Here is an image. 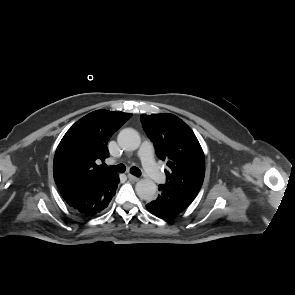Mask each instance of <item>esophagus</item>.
<instances>
[{"instance_id": "1", "label": "esophagus", "mask_w": 295, "mask_h": 295, "mask_svg": "<svg viewBox=\"0 0 295 295\" xmlns=\"http://www.w3.org/2000/svg\"><path fill=\"white\" fill-rule=\"evenodd\" d=\"M128 179L132 182H137L139 180L138 177L128 174Z\"/></svg>"}]
</instances>
